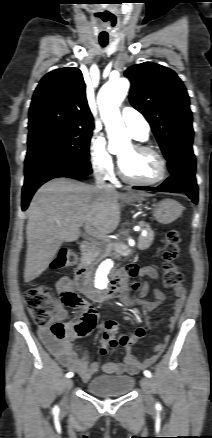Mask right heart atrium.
I'll list each match as a JSON object with an SVG mask.
<instances>
[{
  "label": "right heart atrium",
  "instance_id": "obj_1",
  "mask_svg": "<svg viewBox=\"0 0 212 438\" xmlns=\"http://www.w3.org/2000/svg\"><path fill=\"white\" fill-rule=\"evenodd\" d=\"M88 155L94 174L102 179H110L114 175V159L106 147L105 139L93 135L88 146Z\"/></svg>",
  "mask_w": 212,
  "mask_h": 438
}]
</instances>
